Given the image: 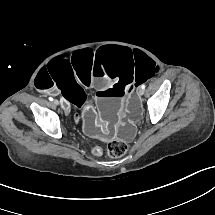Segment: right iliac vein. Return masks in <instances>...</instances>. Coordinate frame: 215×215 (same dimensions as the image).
I'll list each match as a JSON object with an SVG mask.
<instances>
[{"mask_svg": "<svg viewBox=\"0 0 215 215\" xmlns=\"http://www.w3.org/2000/svg\"><path fill=\"white\" fill-rule=\"evenodd\" d=\"M53 104H54V106H57V105L59 104L58 100L55 99V100L53 101Z\"/></svg>", "mask_w": 215, "mask_h": 215, "instance_id": "1", "label": "right iliac vein"}]
</instances>
